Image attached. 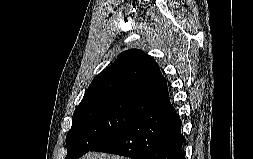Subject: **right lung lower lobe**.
Listing matches in <instances>:
<instances>
[{"label": "right lung lower lobe", "mask_w": 253, "mask_h": 159, "mask_svg": "<svg viewBox=\"0 0 253 159\" xmlns=\"http://www.w3.org/2000/svg\"><path fill=\"white\" fill-rule=\"evenodd\" d=\"M181 124L174 107L167 100L91 151L132 159H185Z\"/></svg>", "instance_id": "1"}]
</instances>
